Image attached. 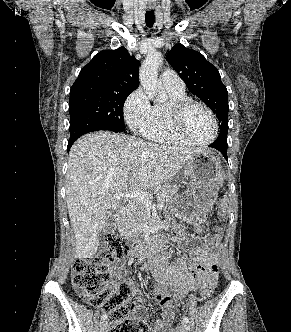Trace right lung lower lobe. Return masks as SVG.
Wrapping results in <instances>:
<instances>
[{"label":"right lung lower lobe","mask_w":291,"mask_h":332,"mask_svg":"<svg viewBox=\"0 0 291 332\" xmlns=\"http://www.w3.org/2000/svg\"><path fill=\"white\" fill-rule=\"evenodd\" d=\"M100 121L94 117L81 114L76 119L70 121V139L67 150L69 151L75 140L88 132L102 130Z\"/></svg>","instance_id":"1"}]
</instances>
